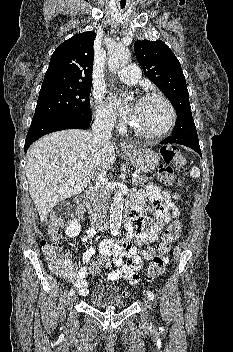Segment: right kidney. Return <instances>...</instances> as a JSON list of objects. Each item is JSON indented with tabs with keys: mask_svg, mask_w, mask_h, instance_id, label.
Returning <instances> with one entry per match:
<instances>
[{
	"mask_svg": "<svg viewBox=\"0 0 233 352\" xmlns=\"http://www.w3.org/2000/svg\"><path fill=\"white\" fill-rule=\"evenodd\" d=\"M81 231V225L76 220H70L67 228L65 229V233L68 237H76L79 235Z\"/></svg>",
	"mask_w": 233,
	"mask_h": 352,
	"instance_id": "obj_1",
	"label": "right kidney"
}]
</instances>
